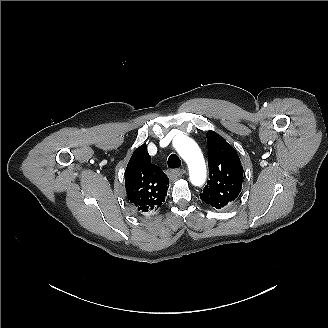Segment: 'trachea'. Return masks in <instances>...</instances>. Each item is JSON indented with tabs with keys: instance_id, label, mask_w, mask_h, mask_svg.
Here are the masks:
<instances>
[{
	"instance_id": "1",
	"label": "trachea",
	"mask_w": 328,
	"mask_h": 328,
	"mask_svg": "<svg viewBox=\"0 0 328 328\" xmlns=\"http://www.w3.org/2000/svg\"><path fill=\"white\" fill-rule=\"evenodd\" d=\"M167 164L170 169L179 168L181 166V160L176 154H171L168 157Z\"/></svg>"
}]
</instances>
